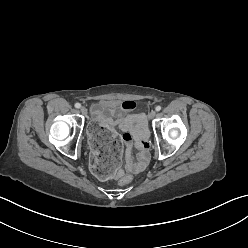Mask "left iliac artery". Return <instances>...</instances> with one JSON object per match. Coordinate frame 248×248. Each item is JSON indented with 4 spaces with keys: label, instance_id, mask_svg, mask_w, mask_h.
Here are the masks:
<instances>
[{
    "label": "left iliac artery",
    "instance_id": "left-iliac-artery-1",
    "mask_svg": "<svg viewBox=\"0 0 248 248\" xmlns=\"http://www.w3.org/2000/svg\"><path fill=\"white\" fill-rule=\"evenodd\" d=\"M155 110H156V111H160V110H161V106H159V105L156 106Z\"/></svg>",
    "mask_w": 248,
    "mask_h": 248
}]
</instances>
